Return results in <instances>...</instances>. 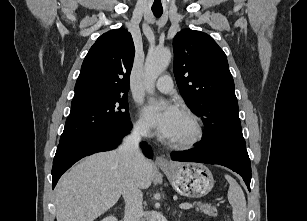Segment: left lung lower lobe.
I'll use <instances>...</instances> for the list:
<instances>
[{"mask_svg": "<svg viewBox=\"0 0 307 221\" xmlns=\"http://www.w3.org/2000/svg\"><path fill=\"white\" fill-rule=\"evenodd\" d=\"M174 161L219 164L242 176L250 191L251 162L246 147L223 139L201 140L195 148L171 152Z\"/></svg>", "mask_w": 307, "mask_h": 221, "instance_id": "1", "label": "left lung lower lobe"}]
</instances>
